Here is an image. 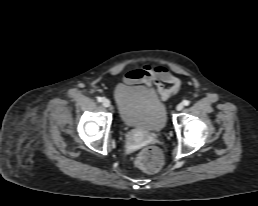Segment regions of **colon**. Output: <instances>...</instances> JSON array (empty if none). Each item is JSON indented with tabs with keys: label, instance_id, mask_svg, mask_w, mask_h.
<instances>
[{
	"label": "colon",
	"instance_id": "1",
	"mask_svg": "<svg viewBox=\"0 0 258 206\" xmlns=\"http://www.w3.org/2000/svg\"><path fill=\"white\" fill-rule=\"evenodd\" d=\"M163 157L160 150L154 146L146 147L134 157V164L145 171L155 172L160 169Z\"/></svg>",
	"mask_w": 258,
	"mask_h": 206
}]
</instances>
